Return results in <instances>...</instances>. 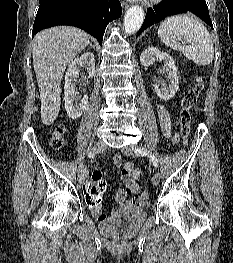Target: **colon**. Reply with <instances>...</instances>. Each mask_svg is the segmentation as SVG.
<instances>
[{"label": "colon", "instance_id": "colon-1", "mask_svg": "<svg viewBox=\"0 0 233 263\" xmlns=\"http://www.w3.org/2000/svg\"><path fill=\"white\" fill-rule=\"evenodd\" d=\"M204 89L203 79L196 76L194 86L187 92L182 100V107L179 112L180 133L184 142L187 141L190 132V110L197 103L202 91ZM64 127L58 125L51 136L50 145L54 150H59L64 145ZM91 179L89 186H85L86 208H95L97 202H100L101 197L106 191V183L103 179L104 169H93L91 171ZM142 205H147L149 202L148 193L143 192L140 196Z\"/></svg>", "mask_w": 233, "mask_h": 263}]
</instances>
